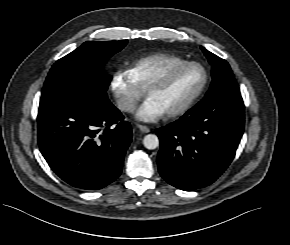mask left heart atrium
I'll return each instance as SVG.
<instances>
[{"instance_id": "39dd6f15", "label": "left heart atrium", "mask_w": 290, "mask_h": 245, "mask_svg": "<svg viewBox=\"0 0 290 245\" xmlns=\"http://www.w3.org/2000/svg\"><path fill=\"white\" fill-rule=\"evenodd\" d=\"M166 113L163 106L153 97L148 96L136 111L137 119L144 122H154Z\"/></svg>"}]
</instances>
